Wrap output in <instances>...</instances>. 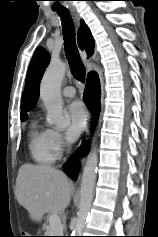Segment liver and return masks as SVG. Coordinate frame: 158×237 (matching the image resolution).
Masks as SVG:
<instances>
[{"mask_svg": "<svg viewBox=\"0 0 158 237\" xmlns=\"http://www.w3.org/2000/svg\"><path fill=\"white\" fill-rule=\"evenodd\" d=\"M72 192V183L56 168L28 163L19 168L15 196L33 221L40 222L48 212H63Z\"/></svg>", "mask_w": 158, "mask_h": 237, "instance_id": "6515ba94", "label": "liver"}]
</instances>
